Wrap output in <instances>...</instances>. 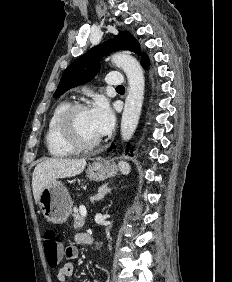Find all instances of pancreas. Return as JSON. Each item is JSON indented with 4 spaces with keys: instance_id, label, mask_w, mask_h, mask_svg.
<instances>
[{
    "instance_id": "cf45deb5",
    "label": "pancreas",
    "mask_w": 232,
    "mask_h": 282,
    "mask_svg": "<svg viewBox=\"0 0 232 282\" xmlns=\"http://www.w3.org/2000/svg\"><path fill=\"white\" fill-rule=\"evenodd\" d=\"M73 218H74V228H81L84 223H85V219L82 215H80L78 212H74L72 214Z\"/></svg>"
}]
</instances>
